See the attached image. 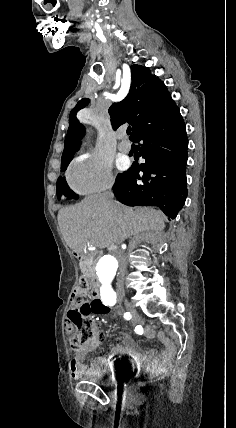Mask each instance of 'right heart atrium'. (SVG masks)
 <instances>
[{
  "label": "right heart atrium",
  "instance_id": "obj_1",
  "mask_svg": "<svg viewBox=\"0 0 236 428\" xmlns=\"http://www.w3.org/2000/svg\"><path fill=\"white\" fill-rule=\"evenodd\" d=\"M67 182L75 194L91 196L113 189L116 178L105 160L83 155L70 164Z\"/></svg>",
  "mask_w": 236,
  "mask_h": 428
}]
</instances>
